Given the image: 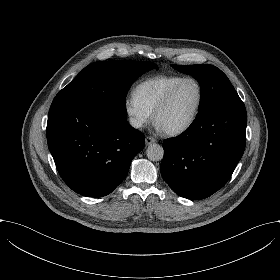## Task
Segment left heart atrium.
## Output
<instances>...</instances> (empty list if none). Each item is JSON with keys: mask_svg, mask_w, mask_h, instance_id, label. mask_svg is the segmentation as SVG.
I'll return each mask as SVG.
<instances>
[{"mask_svg": "<svg viewBox=\"0 0 280 280\" xmlns=\"http://www.w3.org/2000/svg\"><path fill=\"white\" fill-rule=\"evenodd\" d=\"M155 129L159 132H164L166 131V128L164 127V125L159 122L158 120L154 123Z\"/></svg>", "mask_w": 280, "mask_h": 280, "instance_id": "left-heart-atrium-1", "label": "left heart atrium"}]
</instances>
